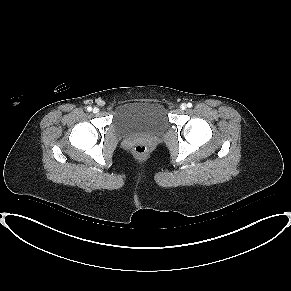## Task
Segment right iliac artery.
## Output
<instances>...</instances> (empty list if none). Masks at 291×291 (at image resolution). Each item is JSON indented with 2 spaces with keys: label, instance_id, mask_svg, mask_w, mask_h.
I'll use <instances>...</instances> for the list:
<instances>
[{
  "label": "right iliac artery",
  "instance_id": "82829eb1",
  "mask_svg": "<svg viewBox=\"0 0 291 291\" xmlns=\"http://www.w3.org/2000/svg\"><path fill=\"white\" fill-rule=\"evenodd\" d=\"M87 111H89V112L92 111V107L91 106H88L87 107Z\"/></svg>",
  "mask_w": 291,
  "mask_h": 291
}]
</instances>
